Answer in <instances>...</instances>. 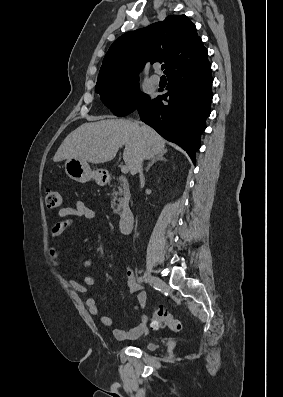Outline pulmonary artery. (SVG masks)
<instances>
[{
	"mask_svg": "<svg viewBox=\"0 0 283 397\" xmlns=\"http://www.w3.org/2000/svg\"><path fill=\"white\" fill-rule=\"evenodd\" d=\"M155 69L158 70V69H159V66H156ZM150 81H151V83H153L154 85H158V84L160 83V76L157 75V74H153V75L150 77Z\"/></svg>",
	"mask_w": 283,
	"mask_h": 397,
	"instance_id": "pulmonary-artery-1",
	"label": "pulmonary artery"
}]
</instances>
